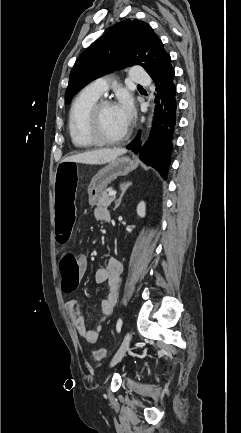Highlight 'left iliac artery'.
Segmentation results:
<instances>
[{"label": "left iliac artery", "mask_w": 241, "mask_h": 433, "mask_svg": "<svg viewBox=\"0 0 241 433\" xmlns=\"http://www.w3.org/2000/svg\"><path fill=\"white\" fill-rule=\"evenodd\" d=\"M122 324H123V321L121 318H119L117 321V324H116V330L118 333H120V331H121Z\"/></svg>", "instance_id": "left-iliac-artery-1"}]
</instances>
